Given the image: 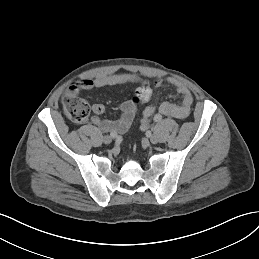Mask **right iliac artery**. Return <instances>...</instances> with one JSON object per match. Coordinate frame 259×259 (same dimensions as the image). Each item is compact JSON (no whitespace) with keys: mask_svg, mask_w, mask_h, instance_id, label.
<instances>
[{"mask_svg":"<svg viewBox=\"0 0 259 259\" xmlns=\"http://www.w3.org/2000/svg\"><path fill=\"white\" fill-rule=\"evenodd\" d=\"M110 136H111L112 138H116V137H117V133L111 132V133H110Z\"/></svg>","mask_w":259,"mask_h":259,"instance_id":"82829eb1","label":"right iliac artery"}]
</instances>
